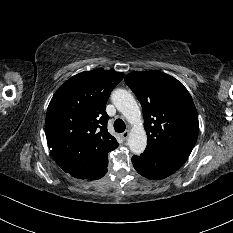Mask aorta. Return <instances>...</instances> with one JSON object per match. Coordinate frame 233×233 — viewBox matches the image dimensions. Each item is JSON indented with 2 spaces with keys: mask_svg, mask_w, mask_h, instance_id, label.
Instances as JSON below:
<instances>
[{
  "mask_svg": "<svg viewBox=\"0 0 233 233\" xmlns=\"http://www.w3.org/2000/svg\"><path fill=\"white\" fill-rule=\"evenodd\" d=\"M112 102L132 125L128 138V146L131 152L141 154L147 145V136L143 127L139 106L132 94L124 89H117L112 93Z\"/></svg>",
  "mask_w": 233,
  "mask_h": 233,
  "instance_id": "762f6f07",
  "label": "aorta"
}]
</instances>
